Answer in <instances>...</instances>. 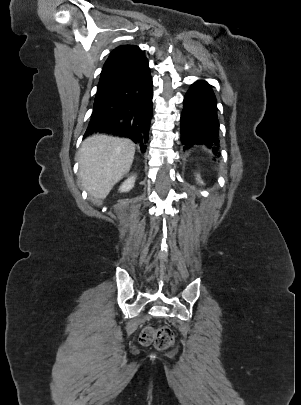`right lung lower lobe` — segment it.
Here are the masks:
<instances>
[{"label":"right lung lower lobe","mask_w":301,"mask_h":405,"mask_svg":"<svg viewBox=\"0 0 301 405\" xmlns=\"http://www.w3.org/2000/svg\"><path fill=\"white\" fill-rule=\"evenodd\" d=\"M152 78L144 59L124 80L94 102L86 133L128 137L146 150L152 117Z\"/></svg>","instance_id":"1"}]
</instances>
